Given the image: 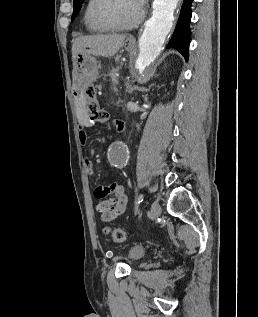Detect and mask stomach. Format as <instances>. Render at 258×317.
I'll use <instances>...</instances> for the list:
<instances>
[{"label": "stomach", "mask_w": 258, "mask_h": 317, "mask_svg": "<svg viewBox=\"0 0 258 317\" xmlns=\"http://www.w3.org/2000/svg\"><path fill=\"white\" fill-rule=\"evenodd\" d=\"M125 50L132 52L135 46V40L133 38H126L123 42ZM74 68L77 74H96L98 70V64L95 56L88 54V52H79L74 58Z\"/></svg>", "instance_id": "obj_1"}]
</instances>
